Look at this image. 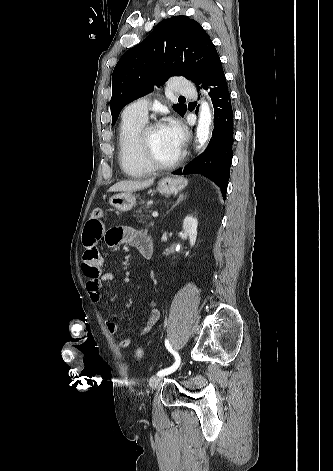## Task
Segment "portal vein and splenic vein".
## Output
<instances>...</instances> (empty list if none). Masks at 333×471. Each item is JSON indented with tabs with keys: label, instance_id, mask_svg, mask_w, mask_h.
Listing matches in <instances>:
<instances>
[{
	"label": "portal vein and splenic vein",
	"instance_id": "portal-vein-and-splenic-vein-1",
	"mask_svg": "<svg viewBox=\"0 0 333 471\" xmlns=\"http://www.w3.org/2000/svg\"><path fill=\"white\" fill-rule=\"evenodd\" d=\"M152 216H153L154 218L158 217V212H153V213H152Z\"/></svg>",
	"mask_w": 333,
	"mask_h": 471
}]
</instances>
